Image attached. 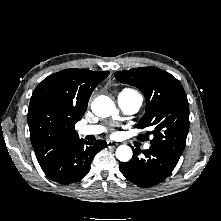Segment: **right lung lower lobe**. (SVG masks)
Instances as JSON below:
<instances>
[{
	"label": "right lung lower lobe",
	"instance_id": "obj_1",
	"mask_svg": "<svg viewBox=\"0 0 221 221\" xmlns=\"http://www.w3.org/2000/svg\"><path fill=\"white\" fill-rule=\"evenodd\" d=\"M106 146L107 143L103 140L89 143L79 139L40 163V166L46 176L55 182L61 184L78 182L90 171L95 154Z\"/></svg>",
	"mask_w": 221,
	"mask_h": 221
}]
</instances>
